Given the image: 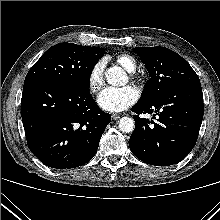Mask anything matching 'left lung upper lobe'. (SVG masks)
I'll list each match as a JSON object with an SVG mask.
<instances>
[{
    "mask_svg": "<svg viewBox=\"0 0 220 220\" xmlns=\"http://www.w3.org/2000/svg\"><path fill=\"white\" fill-rule=\"evenodd\" d=\"M135 52L151 77L138 103H149L181 85L200 82L189 63L168 48L136 47Z\"/></svg>",
    "mask_w": 220,
    "mask_h": 220,
    "instance_id": "1",
    "label": "left lung upper lobe"
}]
</instances>
